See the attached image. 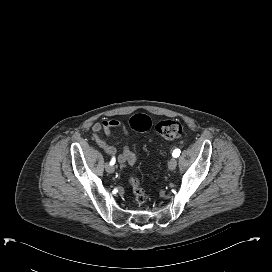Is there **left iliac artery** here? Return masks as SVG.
<instances>
[{
  "label": "left iliac artery",
  "instance_id": "44dca946",
  "mask_svg": "<svg viewBox=\"0 0 272 272\" xmlns=\"http://www.w3.org/2000/svg\"><path fill=\"white\" fill-rule=\"evenodd\" d=\"M180 153H181L180 149H175V150L173 151V153H172V156H173L174 158H177V157L180 155Z\"/></svg>",
  "mask_w": 272,
  "mask_h": 272
}]
</instances>
